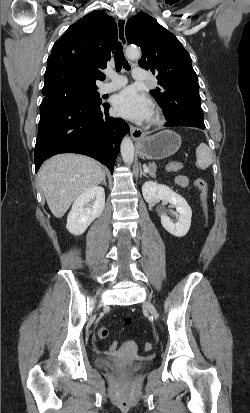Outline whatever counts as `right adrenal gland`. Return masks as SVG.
Listing matches in <instances>:
<instances>
[{
    "label": "right adrenal gland",
    "mask_w": 250,
    "mask_h": 413,
    "mask_svg": "<svg viewBox=\"0 0 250 413\" xmlns=\"http://www.w3.org/2000/svg\"><path fill=\"white\" fill-rule=\"evenodd\" d=\"M102 184L105 185V186H107L106 177H105V176H104V179H103V181H102Z\"/></svg>",
    "instance_id": "2a0ac1e0"
}]
</instances>
